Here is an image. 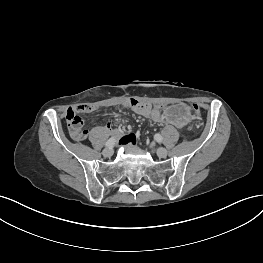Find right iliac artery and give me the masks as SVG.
<instances>
[{
    "mask_svg": "<svg viewBox=\"0 0 263 263\" xmlns=\"http://www.w3.org/2000/svg\"><path fill=\"white\" fill-rule=\"evenodd\" d=\"M115 142H116V138L112 137L105 143V146L110 148L115 144Z\"/></svg>",
    "mask_w": 263,
    "mask_h": 263,
    "instance_id": "obj_1",
    "label": "right iliac artery"
}]
</instances>
